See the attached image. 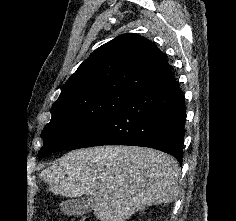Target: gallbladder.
<instances>
[{"mask_svg":"<svg viewBox=\"0 0 236 221\" xmlns=\"http://www.w3.org/2000/svg\"><path fill=\"white\" fill-rule=\"evenodd\" d=\"M94 200L90 196L70 198L60 204V210L68 216H82L93 210Z\"/></svg>","mask_w":236,"mask_h":221,"instance_id":"1","label":"gallbladder"}]
</instances>
